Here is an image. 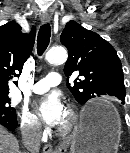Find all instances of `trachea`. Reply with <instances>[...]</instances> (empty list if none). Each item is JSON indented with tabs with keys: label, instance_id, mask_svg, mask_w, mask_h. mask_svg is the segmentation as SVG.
<instances>
[{
	"label": "trachea",
	"instance_id": "trachea-1",
	"mask_svg": "<svg viewBox=\"0 0 130 153\" xmlns=\"http://www.w3.org/2000/svg\"><path fill=\"white\" fill-rule=\"evenodd\" d=\"M51 37V27L47 23L40 27L37 37V52L39 55H42L47 49Z\"/></svg>",
	"mask_w": 130,
	"mask_h": 153
}]
</instances>
